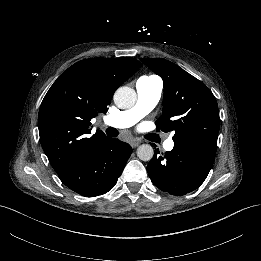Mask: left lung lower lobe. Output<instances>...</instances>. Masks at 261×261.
I'll use <instances>...</instances> for the list:
<instances>
[{
	"label": "left lung lower lobe",
	"mask_w": 261,
	"mask_h": 261,
	"mask_svg": "<svg viewBox=\"0 0 261 261\" xmlns=\"http://www.w3.org/2000/svg\"><path fill=\"white\" fill-rule=\"evenodd\" d=\"M217 145L198 139L174 142V148L155 156L147 172L155 186L172 195H185L206 179L215 160Z\"/></svg>",
	"instance_id": "0a47b994"
}]
</instances>
